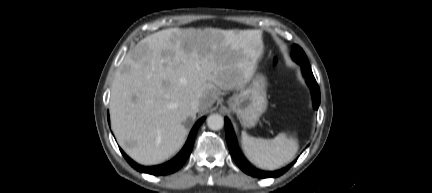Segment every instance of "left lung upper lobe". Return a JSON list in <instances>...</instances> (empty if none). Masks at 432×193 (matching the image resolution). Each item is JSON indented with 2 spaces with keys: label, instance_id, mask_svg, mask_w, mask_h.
<instances>
[{
  "label": "left lung upper lobe",
  "instance_id": "left-lung-upper-lobe-1",
  "mask_svg": "<svg viewBox=\"0 0 432 193\" xmlns=\"http://www.w3.org/2000/svg\"><path fill=\"white\" fill-rule=\"evenodd\" d=\"M292 58L298 64H309L308 59H307L304 51L298 45H293V47H292Z\"/></svg>",
  "mask_w": 432,
  "mask_h": 193
}]
</instances>
